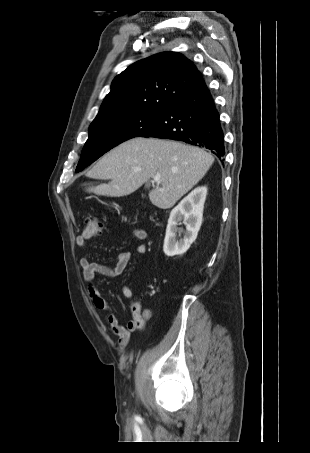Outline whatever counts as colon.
I'll return each mask as SVG.
<instances>
[{"mask_svg":"<svg viewBox=\"0 0 310 453\" xmlns=\"http://www.w3.org/2000/svg\"><path fill=\"white\" fill-rule=\"evenodd\" d=\"M104 228L103 222L98 218H90L88 219L85 228L83 230V235L87 238H91L97 234H99Z\"/></svg>","mask_w":310,"mask_h":453,"instance_id":"obj_1","label":"colon"}]
</instances>
